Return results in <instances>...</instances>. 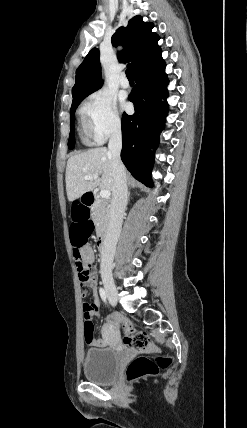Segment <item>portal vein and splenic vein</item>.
<instances>
[{"mask_svg":"<svg viewBox=\"0 0 247 428\" xmlns=\"http://www.w3.org/2000/svg\"><path fill=\"white\" fill-rule=\"evenodd\" d=\"M97 178H98L97 175H85L84 176L85 180H92V179H97ZM110 195H111V193L109 190H101L100 191V196L102 198H108V197H110Z\"/></svg>","mask_w":247,"mask_h":428,"instance_id":"18ae733b","label":"portal vein and splenic vein"}]
</instances>
